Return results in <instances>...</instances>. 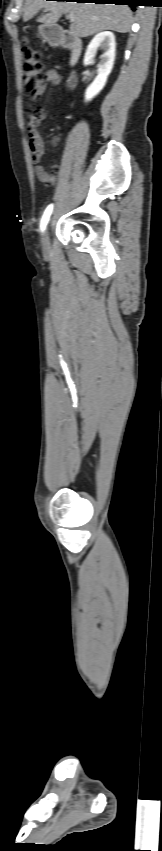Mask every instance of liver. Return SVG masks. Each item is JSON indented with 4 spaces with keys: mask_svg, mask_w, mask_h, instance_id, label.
<instances>
[{
    "mask_svg": "<svg viewBox=\"0 0 162 851\" xmlns=\"http://www.w3.org/2000/svg\"><path fill=\"white\" fill-rule=\"evenodd\" d=\"M42 8L49 13L38 19L39 22L54 25L63 13L73 15L70 31L84 38L105 30L119 33L130 31L132 13L126 5L96 4L84 2L26 0L23 20L32 19Z\"/></svg>",
    "mask_w": 162,
    "mask_h": 851,
    "instance_id": "1",
    "label": "liver"
}]
</instances>
